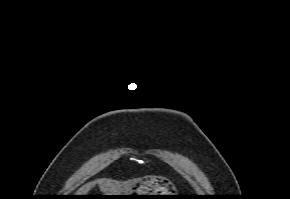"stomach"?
Masks as SVG:
<instances>
[{
    "label": "stomach",
    "instance_id": "0dacf381",
    "mask_svg": "<svg viewBox=\"0 0 290 199\" xmlns=\"http://www.w3.org/2000/svg\"><path fill=\"white\" fill-rule=\"evenodd\" d=\"M112 195H175L167 184L156 179L141 181L138 186L127 190L124 193ZM117 199H150L155 196H116Z\"/></svg>",
    "mask_w": 290,
    "mask_h": 199
}]
</instances>
